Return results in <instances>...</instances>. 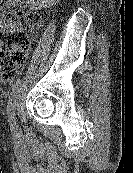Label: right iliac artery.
Segmentation results:
<instances>
[{"mask_svg": "<svg viewBox=\"0 0 133 173\" xmlns=\"http://www.w3.org/2000/svg\"><path fill=\"white\" fill-rule=\"evenodd\" d=\"M19 84H20V80L18 79L12 88V91L8 100V105H7L9 123L12 129H15V103H16V94H17Z\"/></svg>", "mask_w": 133, "mask_h": 173, "instance_id": "1", "label": "right iliac artery"}]
</instances>
